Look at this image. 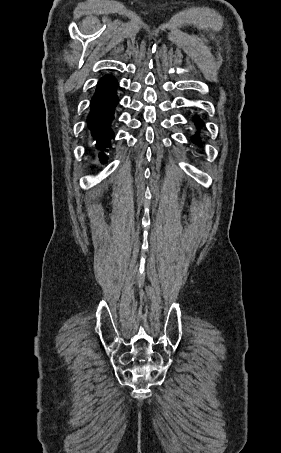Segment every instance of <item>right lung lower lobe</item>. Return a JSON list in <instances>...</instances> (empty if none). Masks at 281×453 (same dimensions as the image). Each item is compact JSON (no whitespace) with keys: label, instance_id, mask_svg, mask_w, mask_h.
<instances>
[{"label":"right lung lower lobe","instance_id":"right-lung-lower-lobe-1","mask_svg":"<svg viewBox=\"0 0 281 453\" xmlns=\"http://www.w3.org/2000/svg\"><path fill=\"white\" fill-rule=\"evenodd\" d=\"M117 80L106 75L98 82L96 92L91 101V111L87 118V124L95 140V148L98 151L99 161L103 164L107 156L103 151H108L113 132L110 124L114 118V109L118 104L116 95Z\"/></svg>","mask_w":281,"mask_h":453}]
</instances>
